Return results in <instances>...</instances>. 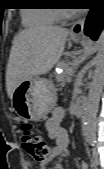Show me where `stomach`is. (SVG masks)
I'll return each instance as SVG.
<instances>
[{
  "label": "stomach",
  "mask_w": 104,
  "mask_h": 169,
  "mask_svg": "<svg viewBox=\"0 0 104 169\" xmlns=\"http://www.w3.org/2000/svg\"><path fill=\"white\" fill-rule=\"evenodd\" d=\"M56 88L53 83L39 76L21 82L13 92L11 103L23 120L39 121L56 105Z\"/></svg>",
  "instance_id": "0dacf381"
}]
</instances>
